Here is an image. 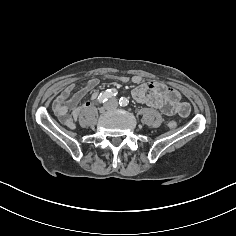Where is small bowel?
<instances>
[{"instance_id":"obj_1","label":"small bowel","mask_w":236,"mask_h":236,"mask_svg":"<svg viewBox=\"0 0 236 236\" xmlns=\"http://www.w3.org/2000/svg\"><path fill=\"white\" fill-rule=\"evenodd\" d=\"M119 80L122 83H133L137 86L132 91L133 99L149 107L160 110L168 116L179 115L186 117L190 113V105L183 101L180 93L173 87L167 86L160 82L145 81L141 76H121ZM98 84L97 79H91L84 87L73 93L74 85L68 84L55 98L53 111L59 122L67 128H74L76 120L82 114L84 106H79L84 96ZM97 93L91 95L95 100Z\"/></svg>"}]
</instances>
